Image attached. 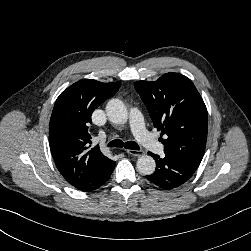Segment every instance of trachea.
<instances>
[{
  "label": "trachea",
  "instance_id": "3493384b",
  "mask_svg": "<svg viewBox=\"0 0 251 251\" xmlns=\"http://www.w3.org/2000/svg\"><path fill=\"white\" fill-rule=\"evenodd\" d=\"M108 147H124L131 150H139V145L134 141L123 142L122 140L116 139L108 143Z\"/></svg>",
  "mask_w": 251,
  "mask_h": 251
}]
</instances>
